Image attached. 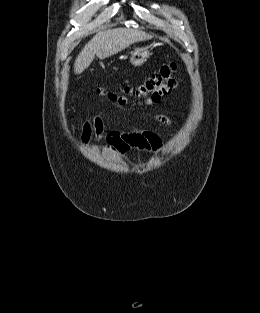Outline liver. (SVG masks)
<instances>
[{
  "label": "liver",
  "mask_w": 260,
  "mask_h": 313,
  "mask_svg": "<svg viewBox=\"0 0 260 313\" xmlns=\"http://www.w3.org/2000/svg\"><path fill=\"white\" fill-rule=\"evenodd\" d=\"M152 38L141 30L115 28L97 33L81 50L74 63V73L81 74L92 63L95 55L105 59L124 50L129 45Z\"/></svg>",
  "instance_id": "obj_1"
}]
</instances>
